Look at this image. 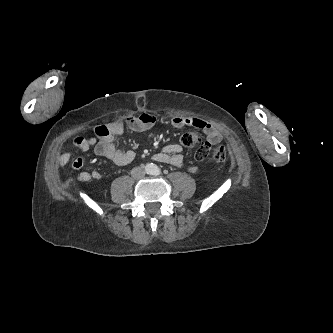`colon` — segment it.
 <instances>
[{
	"label": "colon",
	"mask_w": 333,
	"mask_h": 333,
	"mask_svg": "<svg viewBox=\"0 0 333 333\" xmlns=\"http://www.w3.org/2000/svg\"><path fill=\"white\" fill-rule=\"evenodd\" d=\"M97 136H106L109 129L106 125H99L95 128ZM180 142L184 147L194 148L198 146L195 152V158L198 161L210 160L213 163H223L227 160V152L223 147H213L210 143L201 142V137L194 132H188L181 136Z\"/></svg>",
	"instance_id": "colon-1"
}]
</instances>
